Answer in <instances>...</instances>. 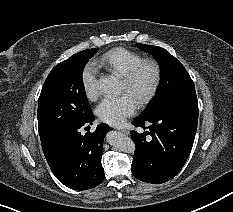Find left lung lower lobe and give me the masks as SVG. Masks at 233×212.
<instances>
[{
    "label": "left lung lower lobe",
    "mask_w": 233,
    "mask_h": 212,
    "mask_svg": "<svg viewBox=\"0 0 233 212\" xmlns=\"http://www.w3.org/2000/svg\"><path fill=\"white\" fill-rule=\"evenodd\" d=\"M132 131L136 145L131 171L147 183H164L175 177L191 152L198 123V108L169 105L142 113L134 122L144 130ZM150 135V140L146 137Z\"/></svg>",
    "instance_id": "obj_1"
}]
</instances>
